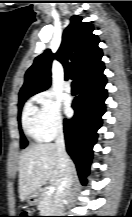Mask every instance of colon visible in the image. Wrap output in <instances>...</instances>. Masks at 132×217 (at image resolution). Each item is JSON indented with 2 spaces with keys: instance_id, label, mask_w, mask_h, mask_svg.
Instances as JSON below:
<instances>
[{
  "instance_id": "5ec220e1",
  "label": "colon",
  "mask_w": 132,
  "mask_h": 217,
  "mask_svg": "<svg viewBox=\"0 0 132 217\" xmlns=\"http://www.w3.org/2000/svg\"><path fill=\"white\" fill-rule=\"evenodd\" d=\"M18 217H34V216H30L29 212H23L20 216Z\"/></svg>"
}]
</instances>
